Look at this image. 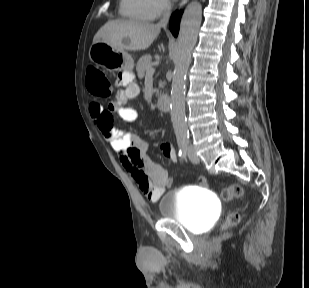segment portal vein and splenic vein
<instances>
[{
  "mask_svg": "<svg viewBox=\"0 0 309 288\" xmlns=\"http://www.w3.org/2000/svg\"><path fill=\"white\" fill-rule=\"evenodd\" d=\"M154 71L155 70L152 67H149L148 70H147V74L152 75L154 73Z\"/></svg>",
  "mask_w": 309,
  "mask_h": 288,
  "instance_id": "obj_1",
  "label": "portal vein and splenic vein"
}]
</instances>
